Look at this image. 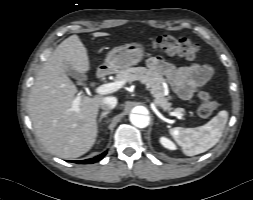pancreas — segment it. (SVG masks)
I'll use <instances>...</instances> for the list:
<instances>
[{"label": "pancreas", "mask_w": 253, "mask_h": 200, "mask_svg": "<svg viewBox=\"0 0 253 200\" xmlns=\"http://www.w3.org/2000/svg\"><path fill=\"white\" fill-rule=\"evenodd\" d=\"M116 79L119 81H126L131 83L133 81H140L145 84L147 89L155 97V102L158 106L165 110L171 109L168 98L163 93V82L165 79L156 70L147 69L145 67L126 68L118 72ZM176 112L182 113V108H177Z\"/></svg>", "instance_id": "obj_1"}]
</instances>
